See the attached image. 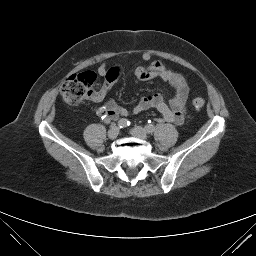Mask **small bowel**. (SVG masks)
Instances as JSON below:
<instances>
[{
	"label": "small bowel",
	"mask_w": 256,
	"mask_h": 256,
	"mask_svg": "<svg viewBox=\"0 0 256 256\" xmlns=\"http://www.w3.org/2000/svg\"><path fill=\"white\" fill-rule=\"evenodd\" d=\"M142 59L145 66H139L133 71V75L140 81H147L154 78H161L169 82L174 90V94L169 103H166L163 96L155 93L142 96L131 110L119 106L114 100L106 99L108 92L118 80L122 73L119 66L107 67L102 64L98 68V74L103 78L102 87L91 94L89 98L94 102L105 101L103 106L104 120L109 121L118 117H126L130 113L138 114L149 109H155L163 120L181 125L186 116L187 101L189 97V87L183 75L169 68L161 60H151V54L144 52Z\"/></svg>",
	"instance_id": "1"
}]
</instances>
